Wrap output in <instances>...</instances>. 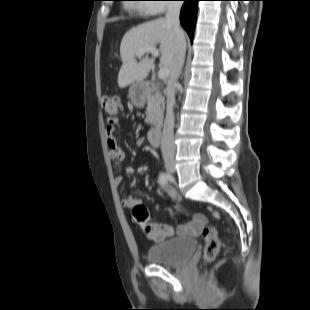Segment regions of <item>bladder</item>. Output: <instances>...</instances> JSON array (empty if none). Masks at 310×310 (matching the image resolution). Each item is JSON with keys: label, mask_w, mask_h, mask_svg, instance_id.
Returning <instances> with one entry per match:
<instances>
[{"label": "bladder", "mask_w": 310, "mask_h": 310, "mask_svg": "<svg viewBox=\"0 0 310 310\" xmlns=\"http://www.w3.org/2000/svg\"><path fill=\"white\" fill-rule=\"evenodd\" d=\"M197 249L193 238H169L150 246L146 257L151 264L178 266L191 259Z\"/></svg>", "instance_id": "bladder-1"}]
</instances>
